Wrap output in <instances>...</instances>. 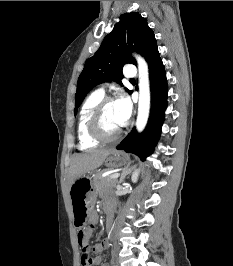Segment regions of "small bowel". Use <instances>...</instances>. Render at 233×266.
Masks as SVG:
<instances>
[{
    "mask_svg": "<svg viewBox=\"0 0 233 266\" xmlns=\"http://www.w3.org/2000/svg\"><path fill=\"white\" fill-rule=\"evenodd\" d=\"M97 220V215L95 212H92L91 216H90V221L91 223L96 222ZM109 226L111 225V222H109L108 224ZM92 233V229L86 228L83 230V245L86 246L88 248L89 251L99 254L102 250H104L107 246H108V241L107 240H102L98 243H96L94 246H92L91 248H89L88 246V240L91 236ZM87 266H107L106 264L103 263V258L101 255H97L94 258H91L90 263Z\"/></svg>",
    "mask_w": 233,
    "mask_h": 266,
    "instance_id": "c3829d8e",
    "label": "small bowel"
}]
</instances>
